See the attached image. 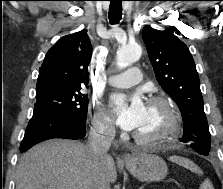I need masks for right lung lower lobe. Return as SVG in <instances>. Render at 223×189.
<instances>
[{
  "instance_id": "98d812e1",
  "label": "right lung lower lobe",
  "mask_w": 223,
  "mask_h": 189,
  "mask_svg": "<svg viewBox=\"0 0 223 189\" xmlns=\"http://www.w3.org/2000/svg\"><path fill=\"white\" fill-rule=\"evenodd\" d=\"M85 135V121L79 122L57 112L34 110L21 142L20 152L48 139H81Z\"/></svg>"
}]
</instances>
